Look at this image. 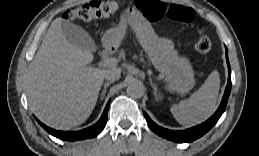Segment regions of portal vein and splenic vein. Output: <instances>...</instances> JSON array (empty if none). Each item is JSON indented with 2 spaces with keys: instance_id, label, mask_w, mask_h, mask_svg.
<instances>
[{
  "instance_id": "18ae733b",
  "label": "portal vein and splenic vein",
  "mask_w": 259,
  "mask_h": 156,
  "mask_svg": "<svg viewBox=\"0 0 259 156\" xmlns=\"http://www.w3.org/2000/svg\"><path fill=\"white\" fill-rule=\"evenodd\" d=\"M117 59L116 58H104L101 62H100V66H104V67H115L117 65Z\"/></svg>"
}]
</instances>
